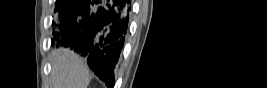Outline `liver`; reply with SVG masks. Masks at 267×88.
Listing matches in <instances>:
<instances>
[{
	"label": "liver",
	"instance_id": "1",
	"mask_svg": "<svg viewBox=\"0 0 267 88\" xmlns=\"http://www.w3.org/2000/svg\"><path fill=\"white\" fill-rule=\"evenodd\" d=\"M52 88H87L90 75L83 60L68 48L50 54Z\"/></svg>",
	"mask_w": 267,
	"mask_h": 88
}]
</instances>
